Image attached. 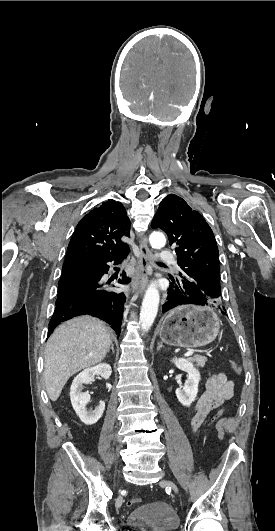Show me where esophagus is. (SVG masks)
<instances>
[{
  "label": "esophagus",
  "mask_w": 275,
  "mask_h": 531,
  "mask_svg": "<svg viewBox=\"0 0 275 531\" xmlns=\"http://www.w3.org/2000/svg\"><path fill=\"white\" fill-rule=\"evenodd\" d=\"M140 249V260L137 267V278L132 282V288L134 292H142L147 283L148 276L152 273V268L150 266V251L147 243V236L142 235L139 243Z\"/></svg>",
  "instance_id": "esophagus-1"
}]
</instances>
